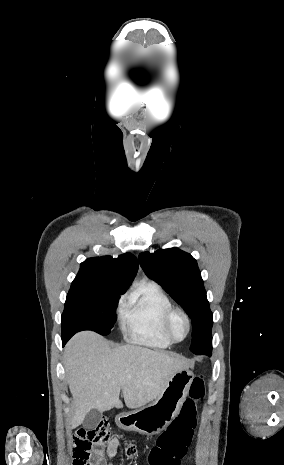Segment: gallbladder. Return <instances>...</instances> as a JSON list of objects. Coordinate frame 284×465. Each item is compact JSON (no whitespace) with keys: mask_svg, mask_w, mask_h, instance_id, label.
Listing matches in <instances>:
<instances>
[{"mask_svg":"<svg viewBox=\"0 0 284 465\" xmlns=\"http://www.w3.org/2000/svg\"><path fill=\"white\" fill-rule=\"evenodd\" d=\"M100 421H102L101 413L92 409V411H89L88 415H86L83 421V427L84 429H96Z\"/></svg>","mask_w":284,"mask_h":465,"instance_id":"1","label":"gallbladder"}]
</instances>
